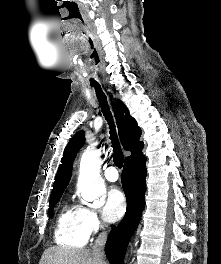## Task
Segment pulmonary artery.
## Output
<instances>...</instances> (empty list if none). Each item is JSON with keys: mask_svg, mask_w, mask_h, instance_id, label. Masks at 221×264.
Wrapping results in <instances>:
<instances>
[{"mask_svg": "<svg viewBox=\"0 0 221 264\" xmlns=\"http://www.w3.org/2000/svg\"><path fill=\"white\" fill-rule=\"evenodd\" d=\"M104 175L106 179L110 182H115L119 178L117 169L114 166H109L106 168Z\"/></svg>", "mask_w": 221, "mask_h": 264, "instance_id": "obj_1", "label": "pulmonary artery"}]
</instances>
